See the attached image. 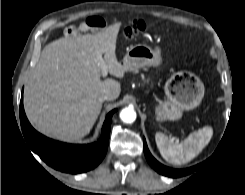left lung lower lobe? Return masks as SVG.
Masks as SVG:
<instances>
[{
  "mask_svg": "<svg viewBox=\"0 0 245 195\" xmlns=\"http://www.w3.org/2000/svg\"><path fill=\"white\" fill-rule=\"evenodd\" d=\"M143 141H144V153H145V157H146L148 163L158 173H160V174H162L164 176H168V177H172V178H177V177L188 175V174H190V173H192L193 171L196 170L197 166H194V167H191V168H187V169H172V168H169V167H166V166L162 165L149 152L145 139Z\"/></svg>",
  "mask_w": 245,
  "mask_h": 195,
  "instance_id": "1",
  "label": "left lung lower lobe"
}]
</instances>
